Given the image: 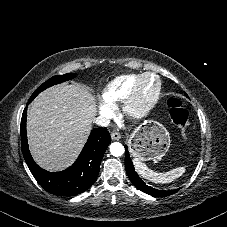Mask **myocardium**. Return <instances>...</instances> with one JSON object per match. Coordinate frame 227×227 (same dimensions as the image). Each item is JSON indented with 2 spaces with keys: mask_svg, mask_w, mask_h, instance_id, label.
<instances>
[{
  "mask_svg": "<svg viewBox=\"0 0 227 227\" xmlns=\"http://www.w3.org/2000/svg\"><path fill=\"white\" fill-rule=\"evenodd\" d=\"M154 83L153 91L145 96L142 87L145 81ZM161 95V82L152 73L141 74L123 103V113L130 119H141L146 116L158 102Z\"/></svg>",
  "mask_w": 227,
  "mask_h": 227,
  "instance_id": "1",
  "label": "myocardium"
}]
</instances>
